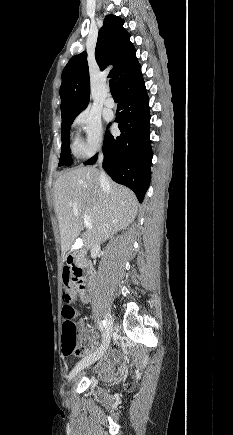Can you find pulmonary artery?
<instances>
[{
  "label": "pulmonary artery",
  "mask_w": 233,
  "mask_h": 435,
  "mask_svg": "<svg viewBox=\"0 0 233 435\" xmlns=\"http://www.w3.org/2000/svg\"><path fill=\"white\" fill-rule=\"evenodd\" d=\"M105 104L107 107L113 108L116 103H115V100L113 99V97L108 95V97L106 98Z\"/></svg>",
  "instance_id": "pulmonary-artery-1"
}]
</instances>
